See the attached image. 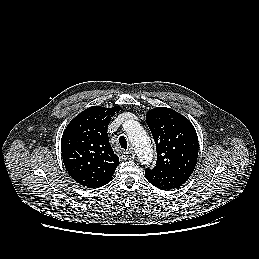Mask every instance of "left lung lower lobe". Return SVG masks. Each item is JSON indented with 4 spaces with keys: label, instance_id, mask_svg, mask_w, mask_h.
Returning <instances> with one entry per match:
<instances>
[{
    "label": "left lung lower lobe",
    "instance_id": "left-lung-lower-lobe-1",
    "mask_svg": "<svg viewBox=\"0 0 259 259\" xmlns=\"http://www.w3.org/2000/svg\"><path fill=\"white\" fill-rule=\"evenodd\" d=\"M147 180L155 187L162 190H170L180 187L187 179L169 171L145 170Z\"/></svg>",
    "mask_w": 259,
    "mask_h": 259
}]
</instances>
